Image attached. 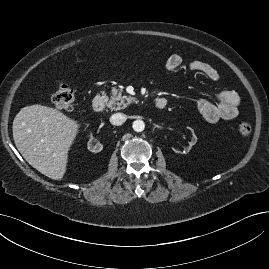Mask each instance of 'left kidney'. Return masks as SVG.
I'll return each mask as SVG.
<instances>
[{"label": "left kidney", "instance_id": "5707ae66", "mask_svg": "<svg viewBox=\"0 0 269 269\" xmlns=\"http://www.w3.org/2000/svg\"><path fill=\"white\" fill-rule=\"evenodd\" d=\"M190 131H191V140L188 142L189 143V147H187V148H184V149H181L180 151L178 150V149H176V148H172V150L175 152V153H181V154H185L186 152H188L190 149H191V147L194 145V144H196V142H197V137H196V135H195V133H194V131H193V129H191V128H188Z\"/></svg>", "mask_w": 269, "mask_h": 269}]
</instances>
